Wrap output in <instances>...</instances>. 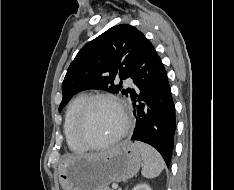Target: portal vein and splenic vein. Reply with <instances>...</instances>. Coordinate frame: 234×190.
<instances>
[{
    "mask_svg": "<svg viewBox=\"0 0 234 190\" xmlns=\"http://www.w3.org/2000/svg\"><path fill=\"white\" fill-rule=\"evenodd\" d=\"M112 188L113 189H117L118 188V184H112Z\"/></svg>",
    "mask_w": 234,
    "mask_h": 190,
    "instance_id": "portal-vein-and-splenic-vein-1",
    "label": "portal vein and splenic vein"
}]
</instances>
